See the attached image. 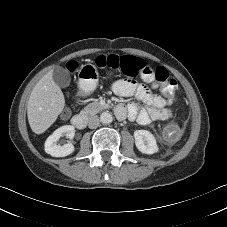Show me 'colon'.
<instances>
[{
  "label": "colon",
  "instance_id": "5ec220e1",
  "mask_svg": "<svg viewBox=\"0 0 227 227\" xmlns=\"http://www.w3.org/2000/svg\"><path fill=\"white\" fill-rule=\"evenodd\" d=\"M96 63L102 69H109L130 77L149 76L153 80L160 82L169 99L174 100L178 84L176 80L169 78V73L163 66H150L135 57H119L116 55L99 56ZM184 126V124L181 125V130L184 129Z\"/></svg>",
  "mask_w": 227,
  "mask_h": 227
}]
</instances>
